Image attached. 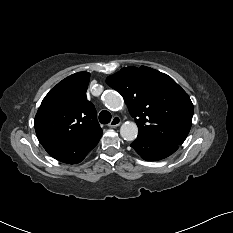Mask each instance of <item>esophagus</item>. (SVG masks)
I'll return each mask as SVG.
<instances>
[{
  "instance_id": "obj_1",
  "label": "esophagus",
  "mask_w": 233,
  "mask_h": 233,
  "mask_svg": "<svg viewBox=\"0 0 233 233\" xmlns=\"http://www.w3.org/2000/svg\"><path fill=\"white\" fill-rule=\"evenodd\" d=\"M121 123V119L118 116H114L111 122L108 124L109 127H117Z\"/></svg>"
}]
</instances>
